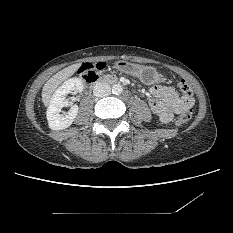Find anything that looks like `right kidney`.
I'll list each match as a JSON object with an SVG mask.
<instances>
[{
    "instance_id": "ca27d5eb",
    "label": "right kidney",
    "mask_w": 233,
    "mask_h": 233,
    "mask_svg": "<svg viewBox=\"0 0 233 233\" xmlns=\"http://www.w3.org/2000/svg\"><path fill=\"white\" fill-rule=\"evenodd\" d=\"M83 83L79 78H70L66 80L53 94L47 109V120L49 128L52 130H62L68 128L78 114V106L72 105L69 112L60 114L63 107L69 105L66 99L67 94L72 91L82 92Z\"/></svg>"
}]
</instances>
